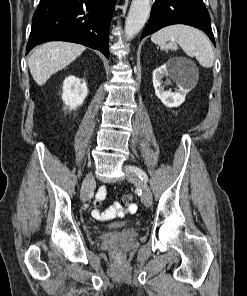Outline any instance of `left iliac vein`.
Segmentation results:
<instances>
[{"label": "left iliac vein", "mask_w": 247, "mask_h": 296, "mask_svg": "<svg viewBox=\"0 0 247 296\" xmlns=\"http://www.w3.org/2000/svg\"><path fill=\"white\" fill-rule=\"evenodd\" d=\"M131 167V166H130ZM126 168V178L128 181L136 185L139 189L142 190V200L145 206L150 207L152 205L153 197L152 192L149 186L143 182L138 175L131 170V168Z\"/></svg>", "instance_id": "4c4485c4"}]
</instances>
